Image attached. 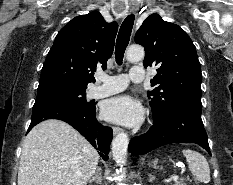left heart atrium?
I'll use <instances>...</instances> for the list:
<instances>
[{
    "label": "left heart atrium",
    "mask_w": 233,
    "mask_h": 185,
    "mask_svg": "<svg viewBox=\"0 0 233 185\" xmlns=\"http://www.w3.org/2000/svg\"><path fill=\"white\" fill-rule=\"evenodd\" d=\"M103 113L109 121L125 126L139 124L144 116L140 102L129 95H119L106 101Z\"/></svg>",
    "instance_id": "1"
}]
</instances>
